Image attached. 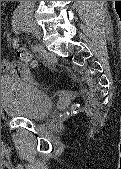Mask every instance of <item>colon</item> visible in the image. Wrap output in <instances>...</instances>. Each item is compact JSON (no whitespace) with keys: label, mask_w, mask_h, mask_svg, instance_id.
<instances>
[{"label":"colon","mask_w":121,"mask_h":169,"mask_svg":"<svg viewBox=\"0 0 121 169\" xmlns=\"http://www.w3.org/2000/svg\"><path fill=\"white\" fill-rule=\"evenodd\" d=\"M14 45L17 46L16 43H14ZM17 54L22 60L31 61L33 66L36 65L35 62L31 60V56L27 50H25L23 48H18Z\"/></svg>","instance_id":"1"}]
</instances>
